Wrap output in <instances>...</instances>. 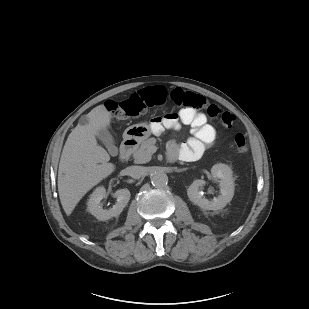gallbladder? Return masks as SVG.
Listing matches in <instances>:
<instances>
[{
  "mask_svg": "<svg viewBox=\"0 0 309 309\" xmlns=\"http://www.w3.org/2000/svg\"><path fill=\"white\" fill-rule=\"evenodd\" d=\"M96 137L107 147L112 156L118 154V148L114 144V138L108 129L100 130Z\"/></svg>",
  "mask_w": 309,
  "mask_h": 309,
  "instance_id": "bac80fb5",
  "label": "gallbladder"
}]
</instances>
